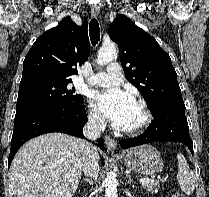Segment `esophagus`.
Listing matches in <instances>:
<instances>
[{"label":"esophagus","instance_id":"34e87169","mask_svg":"<svg viewBox=\"0 0 209 197\" xmlns=\"http://www.w3.org/2000/svg\"><path fill=\"white\" fill-rule=\"evenodd\" d=\"M91 14H92V16H95V17L98 16L100 14L99 6L92 5L91 6ZM105 142H106V147L109 151H114L116 149L117 142L113 138L106 136Z\"/></svg>","mask_w":209,"mask_h":197}]
</instances>
